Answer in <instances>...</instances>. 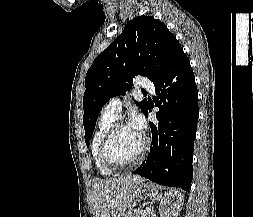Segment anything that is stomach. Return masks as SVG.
Returning a JSON list of instances; mask_svg holds the SVG:
<instances>
[{"label": "stomach", "mask_w": 253, "mask_h": 217, "mask_svg": "<svg viewBox=\"0 0 253 217\" xmlns=\"http://www.w3.org/2000/svg\"><path fill=\"white\" fill-rule=\"evenodd\" d=\"M134 196L136 200L142 201L145 199H152L156 198L159 196L158 193V187L152 183H145V182H140L135 190H134ZM127 213L123 216L126 217Z\"/></svg>", "instance_id": "0dacf381"}]
</instances>
